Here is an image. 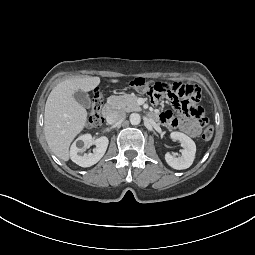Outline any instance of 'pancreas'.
Instances as JSON below:
<instances>
[{
    "instance_id": "cf45deb5",
    "label": "pancreas",
    "mask_w": 255,
    "mask_h": 255,
    "mask_svg": "<svg viewBox=\"0 0 255 255\" xmlns=\"http://www.w3.org/2000/svg\"><path fill=\"white\" fill-rule=\"evenodd\" d=\"M107 102L113 109H118L125 112L141 110V107L137 104V96L134 94L110 96Z\"/></svg>"
}]
</instances>
